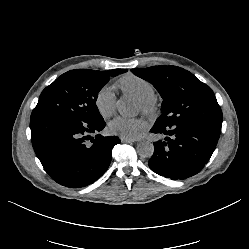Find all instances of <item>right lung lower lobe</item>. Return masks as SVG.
<instances>
[{
	"label": "right lung lower lobe",
	"mask_w": 249,
	"mask_h": 249,
	"mask_svg": "<svg viewBox=\"0 0 249 249\" xmlns=\"http://www.w3.org/2000/svg\"><path fill=\"white\" fill-rule=\"evenodd\" d=\"M105 125L104 120L86 123L61 116L35 118L30 122L32 145L53 180L67 187H84L105 173L112 148L120 143L116 136L97 134Z\"/></svg>",
	"instance_id": "98d812e1"
}]
</instances>
